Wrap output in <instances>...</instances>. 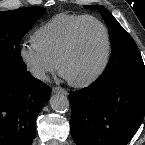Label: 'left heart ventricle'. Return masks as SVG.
<instances>
[{"mask_svg":"<svg viewBox=\"0 0 145 145\" xmlns=\"http://www.w3.org/2000/svg\"><path fill=\"white\" fill-rule=\"evenodd\" d=\"M105 53L102 28L95 22H85L78 31L74 50L62 64V75L71 81L86 79L100 67Z\"/></svg>","mask_w":145,"mask_h":145,"instance_id":"1","label":"left heart ventricle"}]
</instances>
